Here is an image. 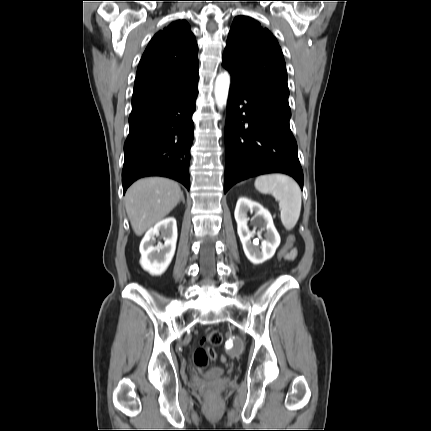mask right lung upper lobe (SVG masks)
<instances>
[{
    "label": "right lung upper lobe",
    "instance_id": "right-lung-upper-lobe-1",
    "mask_svg": "<svg viewBox=\"0 0 431 431\" xmlns=\"http://www.w3.org/2000/svg\"><path fill=\"white\" fill-rule=\"evenodd\" d=\"M197 53L195 37L185 20L160 30L139 63L132 112L170 100L198 81Z\"/></svg>",
    "mask_w": 431,
    "mask_h": 431
}]
</instances>
